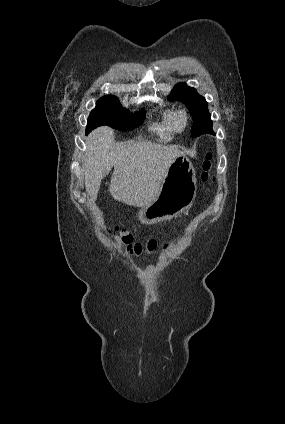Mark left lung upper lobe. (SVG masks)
<instances>
[{
	"label": "left lung upper lobe",
	"mask_w": 285,
	"mask_h": 424,
	"mask_svg": "<svg viewBox=\"0 0 285 424\" xmlns=\"http://www.w3.org/2000/svg\"><path fill=\"white\" fill-rule=\"evenodd\" d=\"M168 99L171 101H181L190 110L193 119L191 130L193 137H198L206 133L213 134L208 103L203 96L198 94L195 88L188 87L186 83H180L174 87Z\"/></svg>",
	"instance_id": "obj_1"
}]
</instances>
